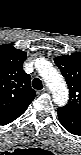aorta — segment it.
<instances>
[{
	"label": "aorta",
	"mask_w": 81,
	"mask_h": 155,
	"mask_svg": "<svg viewBox=\"0 0 81 155\" xmlns=\"http://www.w3.org/2000/svg\"><path fill=\"white\" fill-rule=\"evenodd\" d=\"M36 67L42 79L50 88L54 102L57 105H64L68 100V90L62 75L52 67L51 63L44 59L37 60Z\"/></svg>",
	"instance_id": "1"
}]
</instances>
